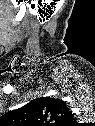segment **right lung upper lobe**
Instances as JSON below:
<instances>
[{"label":"right lung upper lobe","instance_id":"cb5924a9","mask_svg":"<svg viewBox=\"0 0 95 126\" xmlns=\"http://www.w3.org/2000/svg\"><path fill=\"white\" fill-rule=\"evenodd\" d=\"M17 126H72L74 116L66 102L58 98H36L23 107L6 114Z\"/></svg>","mask_w":95,"mask_h":126}]
</instances>
